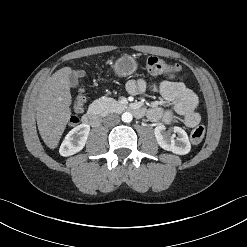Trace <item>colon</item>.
Listing matches in <instances>:
<instances>
[{"label":"colon","instance_id":"obj_1","mask_svg":"<svg viewBox=\"0 0 247 247\" xmlns=\"http://www.w3.org/2000/svg\"><path fill=\"white\" fill-rule=\"evenodd\" d=\"M145 66L147 71L154 75L163 73H178L182 71L181 67L178 64L168 63L156 56L148 57ZM83 103L84 97L82 95H79L75 102L76 111H79L82 108ZM72 121L77 122V118L73 117ZM204 136L205 127L203 125H197L190 134L191 141L194 144H199L203 140Z\"/></svg>","mask_w":247,"mask_h":247}]
</instances>
